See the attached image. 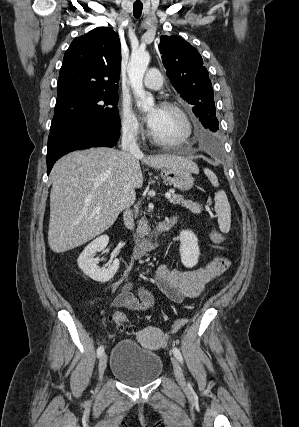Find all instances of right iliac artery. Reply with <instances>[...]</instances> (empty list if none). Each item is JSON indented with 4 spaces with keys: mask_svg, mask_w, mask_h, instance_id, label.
<instances>
[{
    "mask_svg": "<svg viewBox=\"0 0 299 427\" xmlns=\"http://www.w3.org/2000/svg\"><path fill=\"white\" fill-rule=\"evenodd\" d=\"M103 352H104V347H103V346H100V347L97 349V356H98V357H100V356L103 354Z\"/></svg>",
    "mask_w": 299,
    "mask_h": 427,
    "instance_id": "1",
    "label": "right iliac artery"
}]
</instances>
